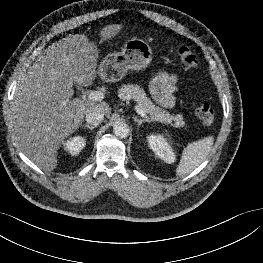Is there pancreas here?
Returning <instances> with one entry per match:
<instances>
[{
    "label": "pancreas",
    "mask_w": 263,
    "mask_h": 263,
    "mask_svg": "<svg viewBox=\"0 0 263 263\" xmlns=\"http://www.w3.org/2000/svg\"><path fill=\"white\" fill-rule=\"evenodd\" d=\"M118 97L123 101L133 99L138 106L148 114L153 121H159L166 125H171L175 128L185 127L182 115H171L166 110L157 107L152 101L146 97L144 90L133 84H124L118 91Z\"/></svg>",
    "instance_id": "1"
}]
</instances>
